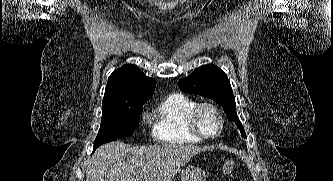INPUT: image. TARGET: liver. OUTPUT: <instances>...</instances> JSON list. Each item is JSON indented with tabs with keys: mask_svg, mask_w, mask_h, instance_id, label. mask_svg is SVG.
I'll return each mask as SVG.
<instances>
[{
	"mask_svg": "<svg viewBox=\"0 0 333 181\" xmlns=\"http://www.w3.org/2000/svg\"><path fill=\"white\" fill-rule=\"evenodd\" d=\"M204 151L206 148L191 145L110 142L89 158L86 181H172L181 167Z\"/></svg>",
	"mask_w": 333,
	"mask_h": 181,
	"instance_id": "obj_1",
	"label": "liver"
}]
</instances>
